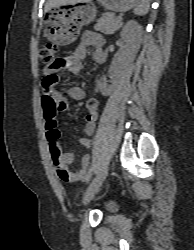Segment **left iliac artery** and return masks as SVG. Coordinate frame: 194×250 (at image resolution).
Segmentation results:
<instances>
[{
	"label": "left iliac artery",
	"mask_w": 194,
	"mask_h": 250,
	"mask_svg": "<svg viewBox=\"0 0 194 250\" xmlns=\"http://www.w3.org/2000/svg\"><path fill=\"white\" fill-rule=\"evenodd\" d=\"M91 176H92V170H90L89 175L86 178V182H89Z\"/></svg>",
	"instance_id": "obj_1"
}]
</instances>
